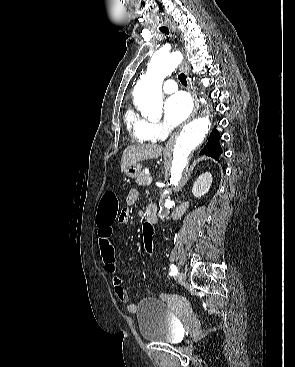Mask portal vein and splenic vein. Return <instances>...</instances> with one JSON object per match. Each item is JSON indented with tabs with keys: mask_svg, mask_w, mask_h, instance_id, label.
<instances>
[{
	"mask_svg": "<svg viewBox=\"0 0 295 367\" xmlns=\"http://www.w3.org/2000/svg\"><path fill=\"white\" fill-rule=\"evenodd\" d=\"M153 181V178L152 177H150L149 179H148V181H147V183H148V185L149 184H151V182Z\"/></svg>",
	"mask_w": 295,
	"mask_h": 367,
	"instance_id": "portal-vein-and-splenic-vein-1",
	"label": "portal vein and splenic vein"
}]
</instances>
